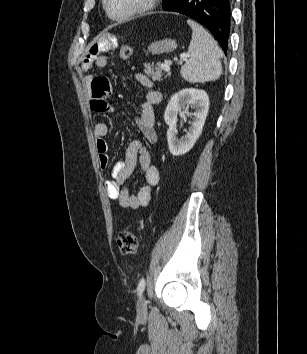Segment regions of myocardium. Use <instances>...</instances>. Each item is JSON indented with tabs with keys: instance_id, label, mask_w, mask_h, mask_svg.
I'll return each mask as SVG.
<instances>
[{
	"instance_id": "myocardium-1",
	"label": "myocardium",
	"mask_w": 307,
	"mask_h": 354,
	"mask_svg": "<svg viewBox=\"0 0 307 354\" xmlns=\"http://www.w3.org/2000/svg\"><path fill=\"white\" fill-rule=\"evenodd\" d=\"M157 2H158V0H143L140 3V5H138L135 9H133L129 13H126L124 15H119V16L113 15L110 12L109 0H103V7H104V10H105L107 16L110 19H112L113 21L122 22V21L130 20L132 18H135L139 15H142V14L152 10L156 6Z\"/></svg>"
}]
</instances>
